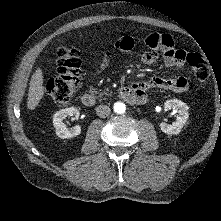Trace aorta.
<instances>
[{
    "label": "aorta",
    "instance_id": "obj_1",
    "mask_svg": "<svg viewBox=\"0 0 221 221\" xmlns=\"http://www.w3.org/2000/svg\"><path fill=\"white\" fill-rule=\"evenodd\" d=\"M126 110V107H125V104L122 103V102H117L114 104V111L117 113V114H122L124 113Z\"/></svg>",
    "mask_w": 221,
    "mask_h": 221
}]
</instances>
